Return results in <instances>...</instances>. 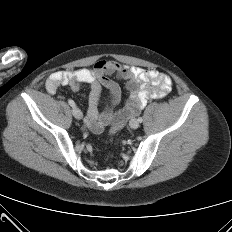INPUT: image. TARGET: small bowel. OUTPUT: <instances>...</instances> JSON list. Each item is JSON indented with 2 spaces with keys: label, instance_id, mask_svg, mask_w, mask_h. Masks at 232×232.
Wrapping results in <instances>:
<instances>
[{
  "label": "small bowel",
  "instance_id": "small-bowel-1",
  "mask_svg": "<svg viewBox=\"0 0 232 232\" xmlns=\"http://www.w3.org/2000/svg\"><path fill=\"white\" fill-rule=\"evenodd\" d=\"M112 76L123 80L129 92L128 102L119 112H115L114 108L120 100V90ZM84 85L90 89L85 125L94 133H99L105 125L121 122L122 117H127L128 120L136 116L150 99L165 97L171 91L172 79L155 69L99 60L91 68L56 71L46 81V89L52 94L61 87L78 92ZM103 86L110 92L111 104L99 114L98 101Z\"/></svg>",
  "mask_w": 232,
  "mask_h": 232
}]
</instances>
